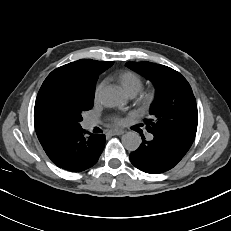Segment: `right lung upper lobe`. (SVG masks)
Segmentation results:
<instances>
[{"instance_id":"1","label":"right lung upper lobe","mask_w":231,"mask_h":231,"mask_svg":"<svg viewBox=\"0 0 231 231\" xmlns=\"http://www.w3.org/2000/svg\"><path fill=\"white\" fill-rule=\"evenodd\" d=\"M113 63V61L81 59L61 66L52 71L45 79L36 101L48 93L58 91L94 98L98 75L112 66ZM34 125L40 143L60 133L37 111H34Z\"/></svg>"}]
</instances>
